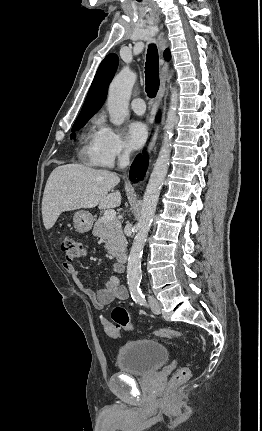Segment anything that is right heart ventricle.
I'll use <instances>...</instances> for the list:
<instances>
[{
  "label": "right heart ventricle",
  "instance_id": "e07e8e85",
  "mask_svg": "<svg viewBox=\"0 0 262 431\" xmlns=\"http://www.w3.org/2000/svg\"><path fill=\"white\" fill-rule=\"evenodd\" d=\"M99 135V123L94 121L84 135L81 156L92 165H98L96 142Z\"/></svg>",
  "mask_w": 262,
  "mask_h": 431
}]
</instances>
